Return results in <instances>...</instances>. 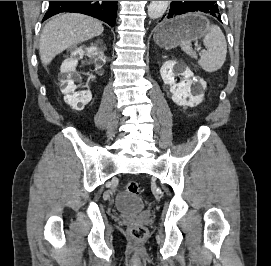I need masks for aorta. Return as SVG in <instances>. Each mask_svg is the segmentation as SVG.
<instances>
[{"instance_id": "1", "label": "aorta", "mask_w": 271, "mask_h": 266, "mask_svg": "<svg viewBox=\"0 0 271 266\" xmlns=\"http://www.w3.org/2000/svg\"><path fill=\"white\" fill-rule=\"evenodd\" d=\"M169 5V1H151L148 6V16L157 19L164 15Z\"/></svg>"}]
</instances>
